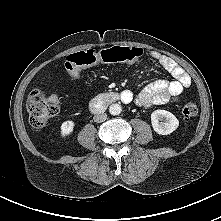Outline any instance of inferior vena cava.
<instances>
[{
  "label": "inferior vena cava",
  "mask_w": 221,
  "mask_h": 221,
  "mask_svg": "<svg viewBox=\"0 0 221 221\" xmlns=\"http://www.w3.org/2000/svg\"><path fill=\"white\" fill-rule=\"evenodd\" d=\"M93 119L97 123L104 122L107 119V114L106 113L97 114L93 117Z\"/></svg>",
  "instance_id": "602c4592"
}]
</instances>
